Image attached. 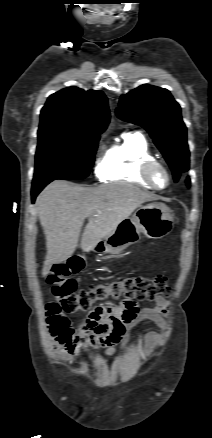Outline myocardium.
Listing matches in <instances>:
<instances>
[{"mask_svg":"<svg viewBox=\"0 0 212 438\" xmlns=\"http://www.w3.org/2000/svg\"><path fill=\"white\" fill-rule=\"evenodd\" d=\"M157 167L162 168L167 176V183L163 187H158L152 180V171ZM139 174H140L141 178L147 184H149L152 187V189H155V190L167 189L169 187V185L171 184V180H172V176H171V173H170L168 167L162 161L157 160V159H149V160L145 161L139 169Z\"/></svg>","mask_w":212,"mask_h":438,"instance_id":"1","label":"myocardium"}]
</instances>
